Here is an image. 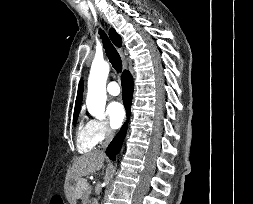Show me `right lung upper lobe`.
Returning a JSON list of instances; mask_svg holds the SVG:
<instances>
[{
  "label": "right lung upper lobe",
  "mask_w": 253,
  "mask_h": 204,
  "mask_svg": "<svg viewBox=\"0 0 253 204\" xmlns=\"http://www.w3.org/2000/svg\"><path fill=\"white\" fill-rule=\"evenodd\" d=\"M109 36L112 40V42L120 47L121 46V37L118 33H116V31L112 28L109 31ZM82 98H83V81L81 80L78 86V93H77V98H76V102H75V109H74V115H78L80 112V108H81V102H82Z\"/></svg>",
  "instance_id": "1"
}]
</instances>
